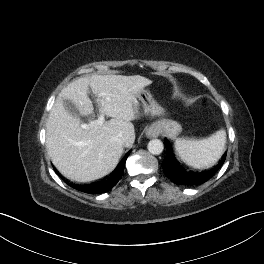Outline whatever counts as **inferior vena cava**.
I'll list each match as a JSON object with an SVG mask.
<instances>
[{
  "mask_svg": "<svg viewBox=\"0 0 264 264\" xmlns=\"http://www.w3.org/2000/svg\"><path fill=\"white\" fill-rule=\"evenodd\" d=\"M112 141L113 142H117V143H119V144H121L123 146L126 145V139L124 137H118V136H116V137H113L112 138Z\"/></svg>",
  "mask_w": 264,
  "mask_h": 264,
  "instance_id": "obj_1",
  "label": "inferior vena cava"
}]
</instances>
